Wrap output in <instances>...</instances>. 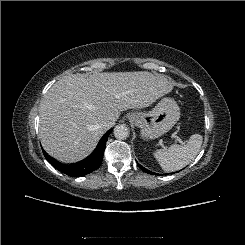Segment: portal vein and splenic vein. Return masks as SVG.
I'll return each mask as SVG.
<instances>
[{"label": "portal vein and splenic vein", "instance_id": "18ae733b", "mask_svg": "<svg viewBox=\"0 0 245 245\" xmlns=\"http://www.w3.org/2000/svg\"><path fill=\"white\" fill-rule=\"evenodd\" d=\"M171 137L175 139V141H178L181 145H185V142H183L176 134H172Z\"/></svg>", "mask_w": 245, "mask_h": 245}]
</instances>
